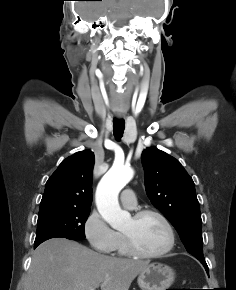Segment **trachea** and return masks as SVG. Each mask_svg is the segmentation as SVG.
I'll return each mask as SVG.
<instances>
[{
    "label": "trachea",
    "mask_w": 236,
    "mask_h": 290,
    "mask_svg": "<svg viewBox=\"0 0 236 290\" xmlns=\"http://www.w3.org/2000/svg\"><path fill=\"white\" fill-rule=\"evenodd\" d=\"M125 129V121L123 119L113 120V133L117 140H120Z\"/></svg>",
    "instance_id": "obj_1"
}]
</instances>
